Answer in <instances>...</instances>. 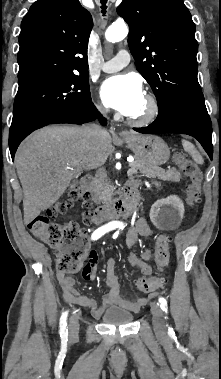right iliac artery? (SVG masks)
Instances as JSON below:
<instances>
[{"instance_id":"obj_1","label":"right iliac artery","mask_w":221,"mask_h":379,"mask_svg":"<svg viewBox=\"0 0 221 379\" xmlns=\"http://www.w3.org/2000/svg\"><path fill=\"white\" fill-rule=\"evenodd\" d=\"M119 225L116 224V223H108L104 226H101L100 228L96 229L93 233H92V236H91V239L92 240H97L99 239L101 236H103L105 233L109 232V231H112L116 228H118ZM67 316H68V311L64 312L60 318V335L61 336H66L68 331L66 329V320H67Z\"/></svg>"}]
</instances>
